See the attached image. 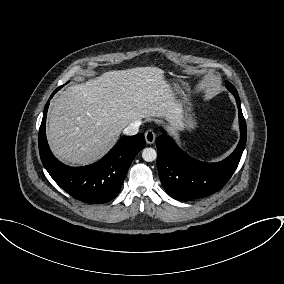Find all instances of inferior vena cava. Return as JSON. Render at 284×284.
I'll return each mask as SVG.
<instances>
[{"instance_id":"1","label":"inferior vena cava","mask_w":284,"mask_h":284,"mask_svg":"<svg viewBox=\"0 0 284 284\" xmlns=\"http://www.w3.org/2000/svg\"><path fill=\"white\" fill-rule=\"evenodd\" d=\"M141 123L134 122L130 123L124 130L123 133L128 136L136 135L139 131V126Z\"/></svg>"}]
</instances>
